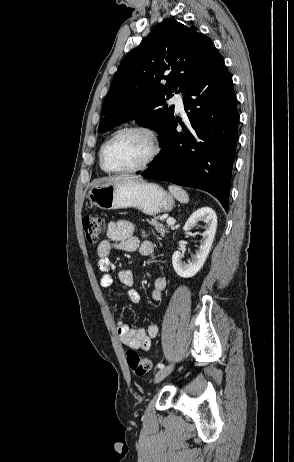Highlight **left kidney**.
I'll list each match as a JSON object with an SVG mask.
<instances>
[{
  "label": "left kidney",
  "mask_w": 294,
  "mask_h": 462,
  "mask_svg": "<svg viewBox=\"0 0 294 462\" xmlns=\"http://www.w3.org/2000/svg\"><path fill=\"white\" fill-rule=\"evenodd\" d=\"M200 221L205 223V231L202 233V239L196 255L192 256L191 260H188L187 263L182 261L183 254L180 251L174 252L172 256L173 268L183 278L194 276L203 267L215 237L217 216L214 210L209 207H203L193 212L185 223L184 231L187 232Z\"/></svg>",
  "instance_id": "5707ae66"
}]
</instances>
